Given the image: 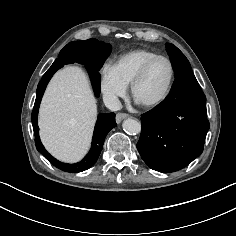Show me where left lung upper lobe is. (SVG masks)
<instances>
[{
    "label": "left lung upper lobe",
    "instance_id": "obj_1",
    "mask_svg": "<svg viewBox=\"0 0 236 236\" xmlns=\"http://www.w3.org/2000/svg\"><path fill=\"white\" fill-rule=\"evenodd\" d=\"M166 50L175 69V77L184 72L192 71L189 61L176 46L167 43Z\"/></svg>",
    "mask_w": 236,
    "mask_h": 236
}]
</instances>
